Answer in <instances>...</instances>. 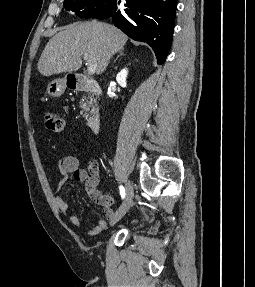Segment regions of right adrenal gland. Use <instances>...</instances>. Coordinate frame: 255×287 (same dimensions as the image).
I'll return each mask as SVG.
<instances>
[{"label": "right adrenal gland", "instance_id": "right-adrenal-gland-1", "mask_svg": "<svg viewBox=\"0 0 255 287\" xmlns=\"http://www.w3.org/2000/svg\"><path fill=\"white\" fill-rule=\"evenodd\" d=\"M120 56H126V54H124L123 50L122 52H119V56H117L116 60H114V64H116L118 58H120Z\"/></svg>", "mask_w": 255, "mask_h": 287}]
</instances>
